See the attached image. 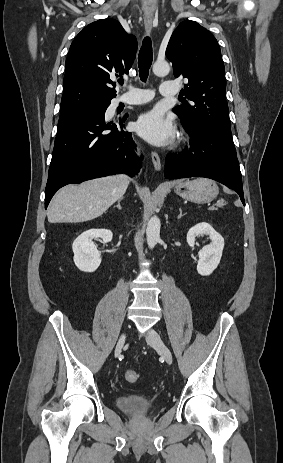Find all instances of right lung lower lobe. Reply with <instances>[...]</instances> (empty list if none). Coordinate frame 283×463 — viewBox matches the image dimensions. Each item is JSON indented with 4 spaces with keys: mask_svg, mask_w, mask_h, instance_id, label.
Listing matches in <instances>:
<instances>
[{
    "mask_svg": "<svg viewBox=\"0 0 283 463\" xmlns=\"http://www.w3.org/2000/svg\"><path fill=\"white\" fill-rule=\"evenodd\" d=\"M110 101L62 117L58 121L52 160L45 190V208L55 192L67 185L116 173L135 175L141 158L134 155L135 144L123 121L106 122Z\"/></svg>",
    "mask_w": 283,
    "mask_h": 463,
    "instance_id": "98d812e1",
    "label": "right lung lower lobe"
}]
</instances>
